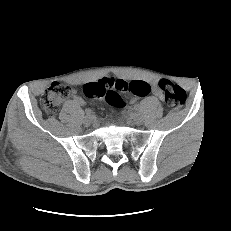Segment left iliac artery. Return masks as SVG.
<instances>
[{
    "mask_svg": "<svg viewBox=\"0 0 231 231\" xmlns=\"http://www.w3.org/2000/svg\"><path fill=\"white\" fill-rule=\"evenodd\" d=\"M140 110V105L139 104H134L133 106H132V111L133 112H138Z\"/></svg>",
    "mask_w": 231,
    "mask_h": 231,
    "instance_id": "44dca946",
    "label": "left iliac artery"
}]
</instances>
